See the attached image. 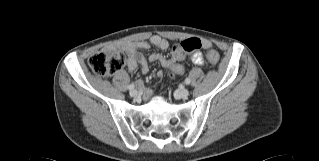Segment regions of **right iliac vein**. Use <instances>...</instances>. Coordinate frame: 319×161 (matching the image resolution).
Here are the masks:
<instances>
[{"label":"right iliac vein","mask_w":319,"mask_h":161,"mask_svg":"<svg viewBox=\"0 0 319 161\" xmlns=\"http://www.w3.org/2000/svg\"><path fill=\"white\" fill-rule=\"evenodd\" d=\"M130 96L131 97H137L138 96V92L136 90H131L130 91Z\"/></svg>","instance_id":"right-iliac-vein-1"}]
</instances>
